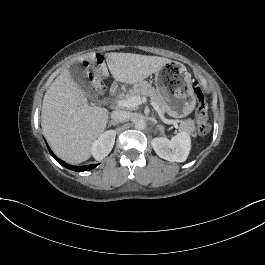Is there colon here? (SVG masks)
<instances>
[{
    "label": "colon",
    "instance_id": "5ec220e1",
    "mask_svg": "<svg viewBox=\"0 0 265 265\" xmlns=\"http://www.w3.org/2000/svg\"><path fill=\"white\" fill-rule=\"evenodd\" d=\"M96 63L98 65L103 63V57L101 55H97ZM104 90H105L104 84L99 83L97 86V91L99 93H102ZM193 90L197 98L196 119H197L198 131L200 134L206 135L207 133H209L211 129L208 117L207 101L201 86L197 82H193Z\"/></svg>",
    "mask_w": 265,
    "mask_h": 265
}]
</instances>
